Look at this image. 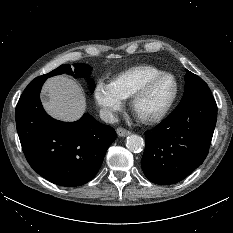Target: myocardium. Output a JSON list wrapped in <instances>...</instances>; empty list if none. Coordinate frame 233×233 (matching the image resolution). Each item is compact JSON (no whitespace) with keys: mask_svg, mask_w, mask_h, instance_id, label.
<instances>
[{"mask_svg":"<svg viewBox=\"0 0 233 233\" xmlns=\"http://www.w3.org/2000/svg\"><path fill=\"white\" fill-rule=\"evenodd\" d=\"M163 78H171L174 82V91L173 94L166 104V106L158 113L150 116L142 115L137 110V105L139 101L150 91V89L153 87L155 83H157L159 80ZM179 94V83L176 79V77L168 72H163L161 74L155 75L151 78H149L147 81H145L140 88L132 95L130 107L133 112V114L136 116V118L145 124H153L161 121L163 118H165L172 107L174 106L177 97Z\"/></svg>","mask_w":233,"mask_h":233,"instance_id":"obj_1","label":"myocardium"}]
</instances>
